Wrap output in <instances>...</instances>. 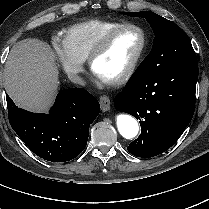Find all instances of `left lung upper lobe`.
<instances>
[{"instance_id":"1","label":"left lung upper lobe","mask_w":209,"mask_h":209,"mask_svg":"<svg viewBox=\"0 0 209 209\" xmlns=\"http://www.w3.org/2000/svg\"><path fill=\"white\" fill-rule=\"evenodd\" d=\"M124 14L145 18L155 34L152 50L137 70L159 74L196 59L192 45L174 22L150 11L124 12Z\"/></svg>"}]
</instances>
